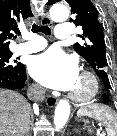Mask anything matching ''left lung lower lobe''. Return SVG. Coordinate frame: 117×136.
<instances>
[{
    "label": "left lung lower lobe",
    "instance_id": "0a47b994",
    "mask_svg": "<svg viewBox=\"0 0 117 136\" xmlns=\"http://www.w3.org/2000/svg\"><path fill=\"white\" fill-rule=\"evenodd\" d=\"M104 99L107 101L108 100V97L106 95H104Z\"/></svg>",
    "mask_w": 117,
    "mask_h": 136
}]
</instances>
